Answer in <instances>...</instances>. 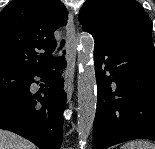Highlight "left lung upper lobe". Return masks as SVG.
<instances>
[{"label":"left lung upper lobe","instance_id":"1","mask_svg":"<svg viewBox=\"0 0 155 149\" xmlns=\"http://www.w3.org/2000/svg\"><path fill=\"white\" fill-rule=\"evenodd\" d=\"M79 20L95 45L152 42V21L135 0H87Z\"/></svg>","mask_w":155,"mask_h":149}]
</instances>
